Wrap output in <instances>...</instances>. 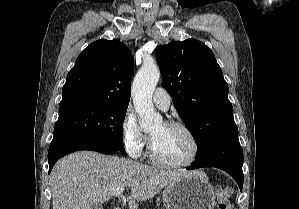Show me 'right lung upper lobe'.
<instances>
[{"label":"right lung upper lobe","instance_id":"obj_1","mask_svg":"<svg viewBox=\"0 0 299 209\" xmlns=\"http://www.w3.org/2000/svg\"><path fill=\"white\" fill-rule=\"evenodd\" d=\"M134 59L120 41L101 39L85 48L67 75L60 104L128 105Z\"/></svg>","mask_w":299,"mask_h":209}]
</instances>
